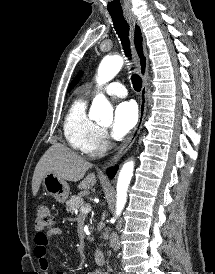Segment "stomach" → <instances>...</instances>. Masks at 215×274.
<instances>
[{
	"label": "stomach",
	"mask_w": 215,
	"mask_h": 274,
	"mask_svg": "<svg viewBox=\"0 0 215 274\" xmlns=\"http://www.w3.org/2000/svg\"><path fill=\"white\" fill-rule=\"evenodd\" d=\"M42 182L46 192L53 196L58 202L64 203L68 198L70 190L68 184L54 173H47L43 177Z\"/></svg>",
	"instance_id": "stomach-1"
}]
</instances>
